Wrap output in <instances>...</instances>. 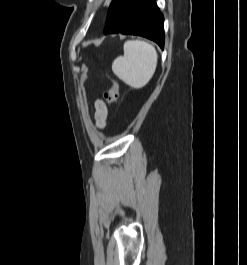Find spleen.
<instances>
[{"label":"spleen","instance_id":"3e777b00","mask_svg":"<svg viewBox=\"0 0 247 265\" xmlns=\"http://www.w3.org/2000/svg\"><path fill=\"white\" fill-rule=\"evenodd\" d=\"M157 58L156 49L148 42L129 40L124 43V55L114 60L112 70L124 83L140 89L154 75Z\"/></svg>","mask_w":247,"mask_h":265}]
</instances>
